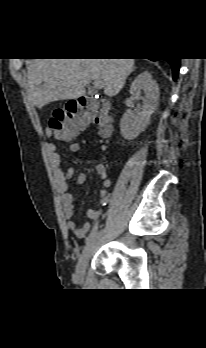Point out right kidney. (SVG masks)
Masks as SVG:
<instances>
[{
	"instance_id": "1",
	"label": "right kidney",
	"mask_w": 206,
	"mask_h": 348,
	"mask_svg": "<svg viewBox=\"0 0 206 348\" xmlns=\"http://www.w3.org/2000/svg\"><path fill=\"white\" fill-rule=\"evenodd\" d=\"M142 92L144 96L141 97ZM130 93L141 97L142 111L132 112L127 110L120 121V131L126 140H133L150 124L151 115L159 104V87L148 71L140 73L130 87Z\"/></svg>"
}]
</instances>
